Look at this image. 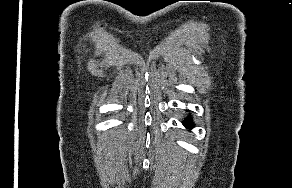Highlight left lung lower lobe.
Here are the masks:
<instances>
[{
    "label": "left lung lower lobe",
    "mask_w": 292,
    "mask_h": 188,
    "mask_svg": "<svg viewBox=\"0 0 292 188\" xmlns=\"http://www.w3.org/2000/svg\"><path fill=\"white\" fill-rule=\"evenodd\" d=\"M184 126H186L187 128L191 129L193 127V122L191 117H187L184 121H183Z\"/></svg>",
    "instance_id": "left-lung-lower-lobe-1"
}]
</instances>
